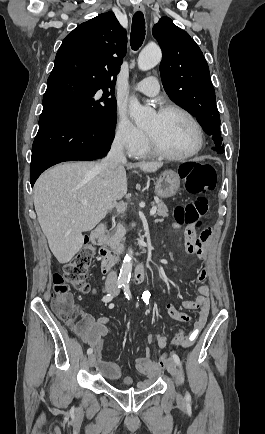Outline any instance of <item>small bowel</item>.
<instances>
[{
	"label": "small bowel",
	"instance_id": "1",
	"mask_svg": "<svg viewBox=\"0 0 265 434\" xmlns=\"http://www.w3.org/2000/svg\"><path fill=\"white\" fill-rule=\"evenodd\" d=\"M178 227L179 225L177 223H173V228ZM209 237L210 235L204 239L201 235L197 236L194 229L188 227L186 229L184 254L195 255L202 258L204 256V246ZM206 278L207 271L203 269L198 273V276L190 282L196 291V297L192 300H185L182 302V307L184 309L197 311L193 322V328L189 333H187L188 338L185 345H183V348H188L195 342L204 328L209 315L210 290L209 287L204 284ZM76 309L81 313V324L75 326L70 323V325H72L83 342L95 350V354H100L102 340L108 330L109 319L105 316L94 318L86 311L82 309L79 310L78 308ZM166 310L168 315L176 321L189 322L193 319L190 314L176 309L172 304H167ZM149 341H157L159 349L156 351L145 349L144 355L137 359L136 366L138 371L147 376V378H141V380H139V385H141V387H150L151 383H154L157 380V369L154 357L167 345L165 337L161 334L150 336Z\"/></svg>",
	"mask_w": 265,
	"mask_h": 434
}]
</instances>
